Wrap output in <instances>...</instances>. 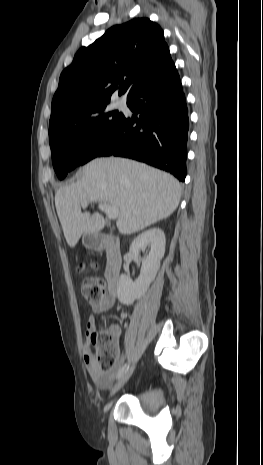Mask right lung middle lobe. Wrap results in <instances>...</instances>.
<instances>
[{
    "mask_svg": "<svg viewBox=\"0 0 263 465\" xmlns=\"http://www.w3.org/2000/svg\"><path fill=\"white\" fill-rule=\"evenodd\" d=\"M110 100L75 109L50 123L52 162L59 179L97 157L124 117L109 111Z\"/></svg>",
    "mask_w": 263,
    "mask_h": 465,
    "instance_id": "obj_1",
    "label": "right lung middle lobe"
}]
</instances>
